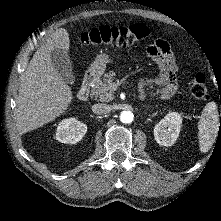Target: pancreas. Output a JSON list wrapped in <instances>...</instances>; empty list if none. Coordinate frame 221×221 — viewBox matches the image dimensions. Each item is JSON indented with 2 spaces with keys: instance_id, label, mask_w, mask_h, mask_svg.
Listing matches in <instances>:
<instances>
[{
  "instance_id": "pancreas-1",
  "label": "pancreas",
  "mask_w": 221,
  "mask_h": 221,
  "mask_svg": "<svg viewBox=\"0 0 221 221\" xmlns=\"http://www.w3.org/2000/svg\"><path fill=\"white\" fill-rule=\"evenodd\" d=\"M115 73L109 72L105 74L102 80H98L92 89V96L96 99L99 98L100 101L109 102L113 99V92L110 89V84L112 83ZM155 93H151L154 96Z\"/></svg>"
}]
</instances>
